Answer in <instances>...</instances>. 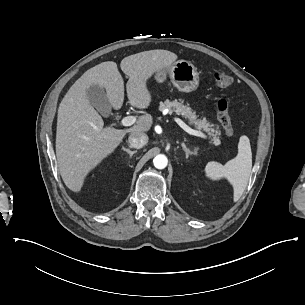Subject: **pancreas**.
I'll list each match as a JSON object with an SVG mask.
<instances>
[{
  "mask_svg": "<svg viewBox=\"0 0 305 305\" xmlns=\"http://www.w3.org/2000/svg\"><path fill=\"white\" fill-rule=\"evenodd\" d=\"M166 109H170L169 113H176L177 115H181L182 118L187 119V122L193 126L195 125L196 129L207 132L210 136L215 137L216 135L221 133V130L217 128H211L214 126L210 124L206 119H199L195 112L191 111V107H187L182 105L179 101H171L166 100L164 103H160V110L164 111ZM215 143L220 142L218 138L215 139Z\"/></svg>",
  "mask_w": 305,
  "mask_h": 305,
  "instance_id": "1",
  "label": "pancreas"
}]
</instances>
